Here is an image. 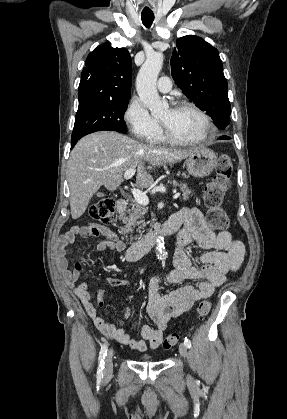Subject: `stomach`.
<instances>
[{
	"instance_id": "obj_1",
	"label": "stomach",
	"mask_w": 287,
	"mask_h": 419,
	"mask_svg": "<svg viewBox=\"0 0 287 419\" xmlns=\"http://www.w3.org/2000/svg\"><path fill=\"white\" fill-rule=\"evenodd\" d=\"M217 163L216 154L208 148H198L186 159L189 174L196 178L209 176Z\"/></svg>"
}]
</instances>
